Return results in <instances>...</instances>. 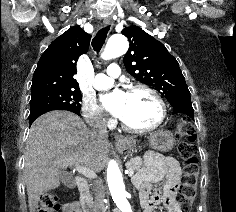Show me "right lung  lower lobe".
<instances>
[{"label": "right lung lower lobe", "instance_id": "1", "mask_svg": "<svg viewBox=\"0 0 236 212\" xmlns=\"http://www.w3.org/2000/svg\"><path fill=\"white\" fill-rule=\"evenodd\" d=\"M48 111H51V110H43V111H40V112H37V113H34V114H30V115H29V122H30V125L33 123V121H34L37 117H39L40 115H42V114H44V113H46V112H48ZM74 113H76L77 115H80V113H78V112H74Z\"/></svg>", "mask_w": 236, "mask_h": 212}]
</instances>
